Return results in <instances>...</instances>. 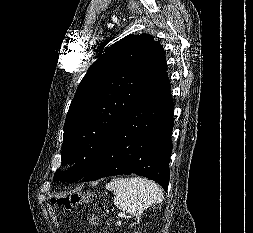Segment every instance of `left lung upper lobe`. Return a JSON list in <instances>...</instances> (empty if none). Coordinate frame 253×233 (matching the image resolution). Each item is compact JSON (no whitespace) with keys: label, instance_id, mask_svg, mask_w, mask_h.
<instances>
[{"label":"left lung upper lobe","instance_id":"5c2ea615","mask_svg":"<svg viewBox=\"0 0 253 233\" xmlns=\"http://www.w3.org/2000/svg\"><path fill=\"white\" fill-rule=\"evenodd\" d=\"M167 70L165 52L148 34L128 35L89 67L70 104L64 125L62 165L55 181H77L93 168L117 125Z\"/></svg>","mask_w":253,"mask_h":233}]
</instances>
